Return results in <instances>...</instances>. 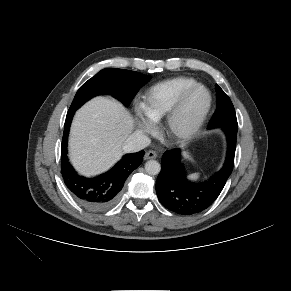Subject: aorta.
<instances>
[{"label": "aorta", "instance_id": "obj_1", "mask_svg": "<svg viewBox=\"0 0 291 291\" xmlns=\"http://www.w3.org/2000/svg\"><path fill=\"white\" fill-rule=\"evenodd\" d=\"M145 170L149 175H157L161 171V166L156 160H149L145 163Z\"/></svg>", "mask_w": 291, "mask_h": 291}]
</instances>
